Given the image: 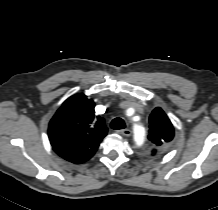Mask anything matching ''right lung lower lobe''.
I'll use <instances>...</instances> for the list:
<instances>
[{"instance_id": "right-lung-lower-lobe-1", "label": "right lung lower lobe", "mask_w": 218, "mask_h": 210, "mask_svg": "<svg viewBox=\"0 0 218 210\" xmlns=\"http://www.w3.org/2000/svg\"><path fill=\"white\" fill-rule=\"evenodd\" d=\"M53 149L60 157L75 164L83 163L89 160L94 155V154H79L59 148H53Z\"/></svg>"}]
</instances>
